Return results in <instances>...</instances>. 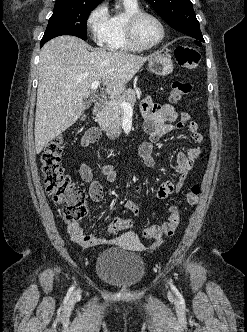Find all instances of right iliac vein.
<instances>
[{
	"label": "right iliac vein",
	"instance_id": "right-iliac-vein-1",
	"mask_svg": "<svg viewBox=\"0 0 247 332\" xmlns=\"http://www.w3.org/2000/svg\"><path fill=\"white\" fill-rule=\"evenodd\" d=\"M80 293V290H77L74 295L77 296Z\"/></svg>",
	"mask_w": 247,
	"mask_h": 332
}]
</instances>
